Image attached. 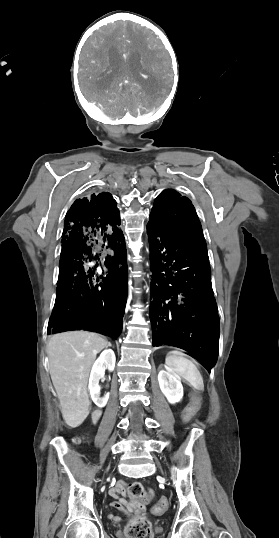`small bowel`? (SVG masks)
I'll use <instances>...</instances> for the list:
<instances>
[{"instance_id":"obj_1","label":"small bowel","mask_w":279,"mask_h":538,"mask_svg":"<svg viewBox=\"0 0 279 538\" xmlns=\"http://www.w3.org/2000/svg\"><path fill=\"white\" fill-rule=\"evenodd\" d=\"M152 494V493H151ZM110 495L115 499L110 505L111 507L117 509L123 515L127 517H132L134 514L141 512L143 510V504L134 497H130V500H126L125 496L129 495V491L126 488L124 482L117 483L111 490ZM108 519L114 522H120L121 516L108 514Z\"/></svg>"}]
</instances>
